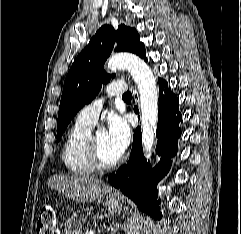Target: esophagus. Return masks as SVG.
Listing matches in <instances>:
<instances>
[{"label": "esophagus", "instance_id": "esophagus-1", "mask_svg": "<svg viewBox=\"0 0 241 234\" xmlns=\"http://www.w3.org/2000/svg\"><path fill=\"white\" fill-rule=\"evenodd\" d=\"M133 90H134V92H136V89H135V88H133ZM136 104H137V102H136Z\"/></svg>", "mask_w": 241, "mask_h": 234}]
</instances>
